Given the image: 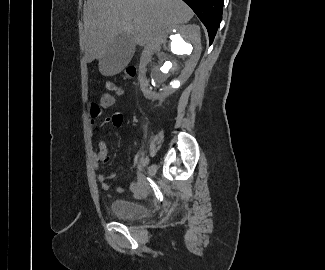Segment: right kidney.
Instances as JSON below:
<instances>
[{
	"mask_svg": "<svg viewBox=\"0 0 325 270\" xmlns=\"http://www.w3.org/2000/svg\"><path fill=\"white\" fill-rule=\"evenodd\" d=\"M154 54L157 62H152ZM200 54L199 26L176 25L166 29L155 46L145 50L141 57L139 82L144 96L161 100L175 92L192 74Z\"/></svg>",
	"mask_w": 325,
	"mask_h": 270,
	"instance_id": "ca27d5eb",
	"label": "right kidney"
}]
</instances>
